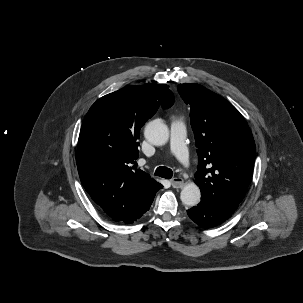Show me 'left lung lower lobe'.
Wrapping results in <instances>:
<instances>
[{
  "label": "left lung lower lobe",
  "mask_w": 303,
  "mask_h": 303,
  "mask_svg": "<svg viewBox=\"0 0 303 303\" xmlns=\"http://www.w3.org/2000/svg\"><path fill=\"white\" fill-rule=\"evenodd\" d=\"M187 214L197 225L211 228L225 222L233 212L215 200L202 197L201 203L187 210Z\"/></svg>",
  "instance_id": "obj_1"
}]
</instances>
